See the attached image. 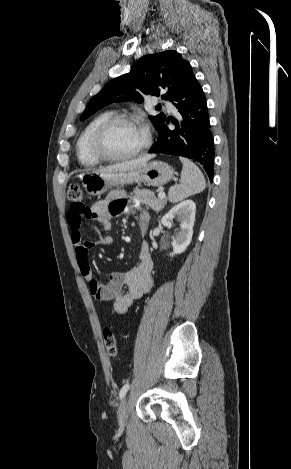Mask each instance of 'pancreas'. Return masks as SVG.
Instances as JSON below:
<instances>
[{"mask_svg":"<svg viewBox=\"0 0 291 469\" xmlns=\"http://www.w3.org/2000/svg\"><path fill=\"white\" fill-rule=\"evenodd\" d=\"M133 199L139 201L142 204H145L151 207L156 212H159L167 204L166 199H160L155 196V193L148 189H135L133 193Z\"/></svg>","mask_w":291,"mask_h":469,"instance_id":"obj_1","label":"pancreas"}]
</instances>
